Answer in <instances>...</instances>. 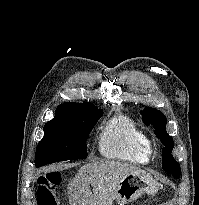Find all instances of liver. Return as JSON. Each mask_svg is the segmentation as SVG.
<instances>
[{
	"mask_svg": "<svg viewBox=\"0 0 199 205\" xmlns=\"http://www.w3.org/2000/svg\"><path fill=\"white\" fill-rule=\"evenodd\" d=\"M142 172L128 163L109 160L89 162L79 169L69 183V202L71 205H112L122 179L129 174Z\"/></svg>",
	"mask_w": 199,
	"mask_h": 205,
	"instance_id": "obj_1",
	"label": "liver"
}]
</instances>
